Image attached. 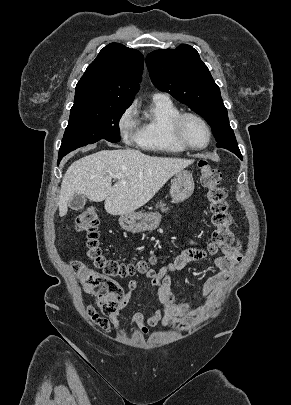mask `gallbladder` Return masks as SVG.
<instances>
[{"label":"gallbladder","instance_id":"1","mask_svg":"<svg viewBox=\"0 0 291 405\" xmlns=\"http://www.w3.org/2000/svg\"><path fill=\"white\" fill-rule=\"evenodd\" d=\"M86 203V197L82 195H75L70 201H69V207L73 210H81L84 208Z\"/></svg>","mask_w":291,"mask_h":405}]
</instances>
